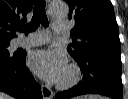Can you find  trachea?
<instances>
[{
    "mask_svg": "<svg viewBox=\"0 0 128 99\" xmlns=\"http://www.w3.org/2000/svg\"><path fill=\"white\" fill-rule=\"evenodd\" d=\"M40 24H42L44 27L49 26L45 12V0H36L31 22L27 25H20L18 30L20 32H24L27 35L28 33L35 31L40 26Z\"/></svg>",
    "mask_w": 128,
    "mask_h": 99,
    "instance_id": "1",
    "label": "trachea"
}]
</instances>
